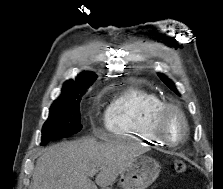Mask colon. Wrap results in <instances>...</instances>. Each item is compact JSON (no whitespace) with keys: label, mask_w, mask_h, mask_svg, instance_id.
<instances>
[{"label":"colon","mask_w":223,"mask_h":189,"mask_svg":"<svg viewBox=\"0 0 223 189\" xmlns=\"http://www.w3.org/2000/svg\"><path fill=\"white\" fill-rule=\"evenodd\" d=\"M174 170L178 174H184L188 170V165L183 160H176L174 163Z\"/></svg>","instance_id":"obj_1"}]
</instances>
